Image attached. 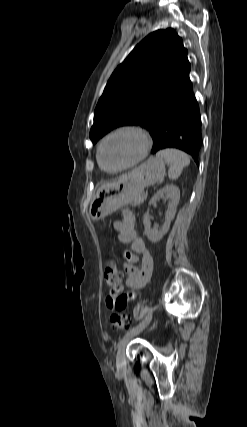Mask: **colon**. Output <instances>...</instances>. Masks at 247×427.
<instances>
[{"mask_svg": "<svg viewBox=\"0 0 247 427\" xmlns=\"http://www.w3.org/2000/svg\"><path fill=\"white\" fill-rule=\"evenodd\" d=\"M105 283L110 289L116 288L121 281V272L117 268L116 264L111 261L109 262L105 270ZM112 326L119 330L129 329L132 326V317L127 314L115 313L110 317Z\"/></svg>", "mask_w": 247, "mask_h": 427, "instance_id": "1", "label": "colon"}]
</instances>
